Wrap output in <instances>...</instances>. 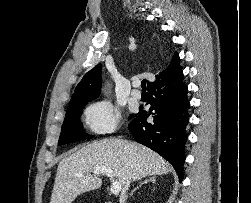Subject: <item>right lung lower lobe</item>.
Listing matches in <instances>:
<instances>
[{
  "mask_svg": "<svg viewBox=\"0 0 251 203\" xmlns=\"http://www.w3.org/2000/svg\"><path fill=\"white\" fill-rule=\"evenodd\" d=\"M151 105L146 112L140 109L128 125L134 139L169 161L180 181L185 162L186 126L189 121L188 88L183 81L180 65L148 89ZM152 116L153 121L147 122Z\"/></svg>",
  "mask_w": 251,
  "mask_h": 203,
  "instance_id": "98d812e1",
  "label": "right lung lower lobe"
}]
</instances>
